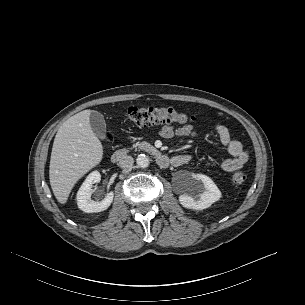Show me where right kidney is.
<instances>
[{
    "label": "right kidney",
    "instance_id": "right-kidney-1",
    "mask_svg": "<svg viewBox=\"0 0 305 305\" xmlns=\"http://www.w3.org/2000/svg\"><path fill=\"white\" fill-rule=\"evenodd\" d=\"M101 180V175L98 171L91 172L77 193V205L79 209L86 213H98L106 210L112 203L114 193L109 192L101 201H94L91 199L92 185Z\"/></svg>",
    "mask_w": 305,
    "mask_h": 305
}]
</instances>
